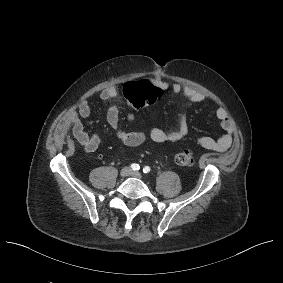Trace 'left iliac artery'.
<instances>
[{
    "label": "left iliac artery",
    "mask_w": 283,
    "mask_h": 283,
    "mask_svg": "<svg viewBox=\"0 0 283 283\" xmlns=\"http://www.w3.org/2000/svg\"><path fill=\"white\" fill-rule=\"evenodd\" d=\"M143 172H144V173H149V172H150V167H149V166H145V167L143 168Z\"/></svg>",
    "instance_id": "1"
}]
</instances>
